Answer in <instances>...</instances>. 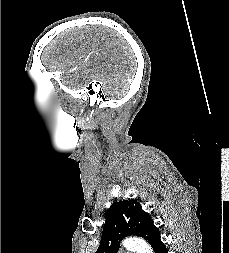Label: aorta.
<instances>
[{
	"label": "aorta",
	"instance_id": "obj_1",
	"mask_svg": "<svg viewBox=\"0 0 229 253\" xmlns=\"http://www.w3.org/2000/svg\"><path fill=\"white\" fill-rule=\"evenodd\" d=\"M124 247L137 253H153L151 246L141 238H129L123 242Z\"/></svg>",
	"mask_w": 229,
	"mask_h": 253
}]
</instances>
